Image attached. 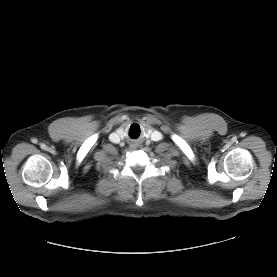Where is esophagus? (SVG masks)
Here are the masks:
<instances>
[{
	"label": "esophagus",
	"instance_id": "34e87169",
	"mask_svg": "<svg viewBox=\"0 0 277 277\" xmlns=\"http://www.w3.org/2000/svg\"><path fill=\"white\" fill-rule=\"evenodd\" d=\"M132 148H136L134 145L133 146H131Z\"/></svg>",
	"mask_w": 277,
	"mask_h": 277
}]
</instances>
